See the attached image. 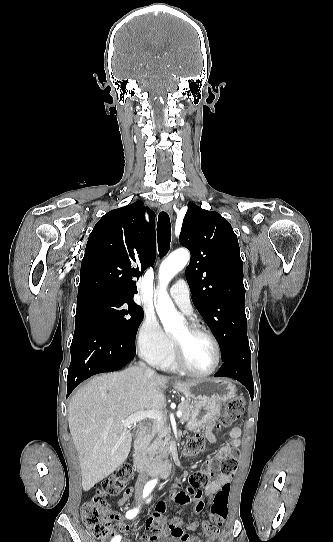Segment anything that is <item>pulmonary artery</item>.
Masks as SVG:
<instances>
[{
	"instance_id": "e3ab8cb5",
	"label": "pulmonary artery",
	"mask_w": 333,
	"mask_h": 542,
	"mask_svg": "<svg viewBox=\"0 0 333 542\" xmlns=\"http://www.w3.org/2000/svg\"><path fill=\"white\" fill-rule=\"evenodd\" d=\"M178 285H171L166 291V296L171 297L177 307L186 315L190 316L193 313V307L190 298L191 288L187 285L186 279H179Z\"/></svg>"
}]
</instances>
